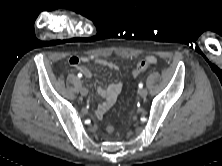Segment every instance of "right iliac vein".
Returning a JSON list of instances; mask_svg holds the SVG:
<instances>
[{
  "label": "right iliac vein",
  "mask_w": 222,
  "mask_h": 166,
  "mask_svg": "<svg viewBox=\"0 0 222 166\" xmlns=\"http://www.w3.org/2000/svg\"><path fill=\"white\" fill-rule=\"evenodd\" d=\"M80 93H81V95L82 96H87V94H88V90L85 88V87H82L81 89H80Z\"/></svg>",
  "instance_id": "1"
}]
</instances>
